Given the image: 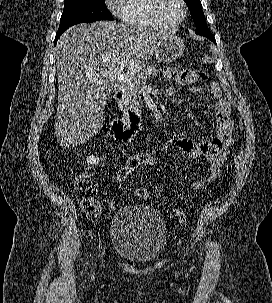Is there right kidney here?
<instances>
[{
    "label": "right kidney",
    "instance_id": "ca27d5eb",
    "mask_svg": "<svg viewBox=\"0 0 272 303\" xmlns=\"http://www.w3.org/2000/svg\"><path fill=\"white\" fill-rule=\"evenodd\" d=\"M100 160H101V158L91 155L87 158V163L90 164V165H95L96 166L100 163Z\"/></svg>",
    "mask_w": 272,
    "mask_h": 303
}]
</instances>
